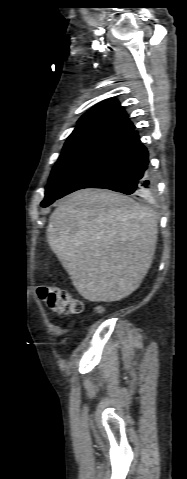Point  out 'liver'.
I'll list each match as a JSON object with an SVG mask.
<instances>
[{
	"mask_svg": "<svg viewBox=\"0 0 187 479\" xmlns=\"http://www.w3.org/2000/svg\"><path fill=\"white\" fill-rule=\"evenodd\" d=\"M47 241L83 298L115 302L133 293L146 276L157 219L128 196L83 189L58 202Z\"/></svg>",
	"mask_w": 187,
	"mask_h": 479,
	"instance_id": "obj_1",
	"label": "liver"
}]
</instances>
